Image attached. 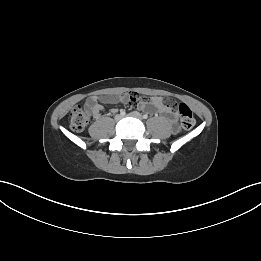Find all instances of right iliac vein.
I'll use <instances>...</instances> for the list:
<instances>
[{
  "instance_id": "right-iliac-vein-1",
  "label": "right iliac vein",
  "mask_w": 261,
  "mask_h": 261,
  "mask_svg": "<svg viewBox=\"0 0 261 261\" xmlns=\"http://www.w3.org/2000/svg\"><path fill=\"white\" fill-rule=\"evenodd\" d=\"M122 119V115H116L115 116V121H120Z\"/></svg>"
}]
</instances>
